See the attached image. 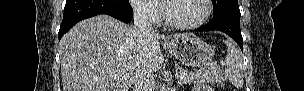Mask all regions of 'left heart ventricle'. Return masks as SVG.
I'll return each instance as SVG.
<instances>
[{
  "label": "left heart ventricle",
  "instance_id": "obj_1",
  "mask_svg": "<svg viewBox=\"0 0 304 91\" xmlns=\"http://www.w3.org/2000/svg\"><path fill=\"white\" fill-rule=\"evenodd\" d=\"M170 17L180 23H192L199 20L205 6L201 0H176L168 3Z\"/></svg>",
  "mask_w": 304,
  "mask_h": 91
}]
</instances>
